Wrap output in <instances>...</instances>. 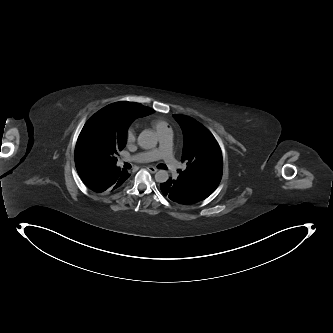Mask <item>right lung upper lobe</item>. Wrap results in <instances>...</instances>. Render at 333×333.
Masks as SVG:
<instances>
[{
	"label": "right lung upper lobe",
	"instance_id": "1",
	"mask_svg": "<svg viewBox=\"0 0 333 333\" xmlns=\"http://www.w3.org/2000/svg\"><path fill=\"white\" fill-rule=\"evenodd\" d=\"M105 108L113 112L116 116H124V119L126 120V122H129V125L134 119L149 115L154 112V110L139 103L126 101L116 102L106 106ZM107 168H104L102 170H105Z\"/></svg>",
	"mask_w": 333,
	"mask_h": 333
}]
</instances>
